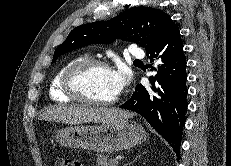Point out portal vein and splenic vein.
<instances>
[{
	"mask_svg": "<svg viewBox=\"0 0 231 166\" xmlns=\"http://www.w3.org/2000/svg\"><path fill=\"white\" fill-rule=\"evenodd\" d=\"M121 159V157H116L115 159H113L116 163H118V161Z\"/></svg>",
	"mask_w": 231,
	"mask_h": 166,
	"instance_id": "1",
	"label": "portal vein and splenic vein"
}]
</instances>
